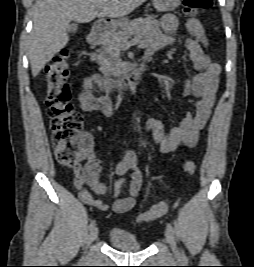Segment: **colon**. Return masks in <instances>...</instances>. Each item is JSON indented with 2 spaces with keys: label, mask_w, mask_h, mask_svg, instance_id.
Returning <instances> with one entry per match:
<instances>
[{
  "label": "colon",
  "mask_w": 254,
  "mask_h": 267,
  "mask_svg": "<svg viewBox=\"0 0 254 267\" xmlns=\"http://www.w3.org/2000/svg\"><path fill=\"white\" fill-rule=\"evenodd\" d=\"M212 4L213 0H183V11L187 16H195L211 8ZM69 66L70 51L62 49L46 67V105L56 158L61 164L74 169L81 167V162L93 159V151L90 138L82 131L83 116L71 104V90L67 82ZM182 167L189 175L195 171L192 161H185ZM168 210L169 204L163 201L142 213L138 220L149 222Z\"/></svg>",
  "instance_id": "1"
}]
</instances>
